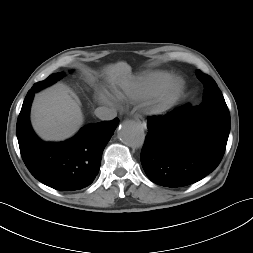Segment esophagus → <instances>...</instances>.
I'll list each match as a JSON object with an SVG mask.
<instances>
[{"mask_svg": "<svg viewBox=\"0 0 253 253\" xmlns=\"http://www.w3.org/2000/svg\"><path fill=\"white\" fill-rule=\"evenodd\" d=\"M134 118L137 122H139L142 125L143 128H146V122L140 115H135Z\"/></svg>", "mask_w": 253, "mask_h": 253, "instance_id": "esophagus-1", "label": "esophagus"}]
</instances>
